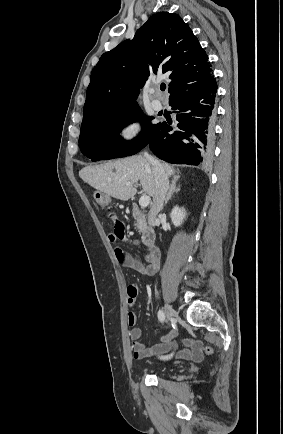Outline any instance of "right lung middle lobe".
Segmentation results:
<instances>
[{
    "mask_svg": "<svg viewBox=\"0 0 283 434\" xmlns=\"http://www.w3.org/2000/svg\"><path fill=\"white\" fill-rule=\"evenodd\" d=\"M142 123L141 134L131 142L124 141L119 133L129 123ZM160 124H151L139 107L115 114L80 130L79 147L92 161L126 157L136 154L152 139Z\"/></svg>",
    "mask_w": 283,
    "mask_h": 434,
    "instance_id": "obj_1",
    "label": "right lung middle lobe"
}]
</instances>
